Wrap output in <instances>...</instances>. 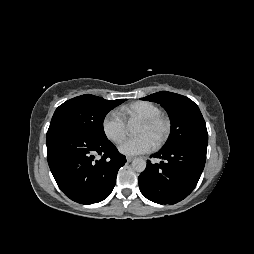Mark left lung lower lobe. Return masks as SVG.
<instances>
[{
  "label": "left lung lower lobe",
  "mask_w": 254,
  "mask_h": 254,
  "mask_svg": "<svg viewBox=\"0 0 254 254\" xmlns=\"http://www.w3.org/2000/svg\"><path fill=\"white\" fill-rule=\"evenodd\" d=\"M207 144L190 142L168 150H160L151 157L160 164L147 162L138 177L141 193L159 204H175L186 198L195 188L206 161Z\"/></svg>",
  "instance_id": "1"
}]
</instances>
